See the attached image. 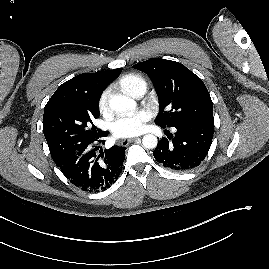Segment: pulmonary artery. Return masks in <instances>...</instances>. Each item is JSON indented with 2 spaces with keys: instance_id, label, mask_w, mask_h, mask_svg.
I'll list each match as a JSON object with an SVG mask.
<instances>
[{
  "instance_id": "1",
  "label": "pulmonary artery",
  "mask_w": 269,
  "mask_h": 269,
  "mask_svg": "<svg viewBox=\"0 0 269 269\" xmlns=\"http://www.w3.org/2000/svg\"><path fill=\"white\" fill-rule=\"evenodd\" d=\"M145 88H140L134 95V97L138 98L141 97L145 93Z\"/></svg>"
}]
</instances>
